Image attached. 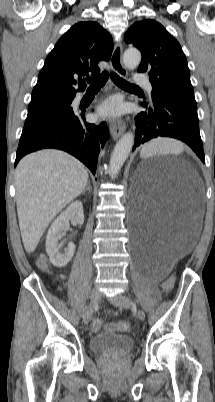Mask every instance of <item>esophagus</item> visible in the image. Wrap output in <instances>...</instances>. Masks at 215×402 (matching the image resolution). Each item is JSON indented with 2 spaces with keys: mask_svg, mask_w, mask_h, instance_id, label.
Segmentation results:
<instances>
[{
  "mask_svg": "<svg viewBox=\"0 0 215 402\" xmlns=\"http://www.w3.org/2000/svg\"><path fill=\"white\" fill-rule=\"evenodd\" d=\"M122 44L116 43L111 56V66L116 74L125 78L127 76V70L122 62ZM125 130V122L118 121L112 122L110 125V133L114 139L119 138Z\"/></svg>",
  "mask_w": 215,
  "mask_h": 402,
  "instance_id": "obj_1",
  "label": "esophagus"
}]
</instances>
